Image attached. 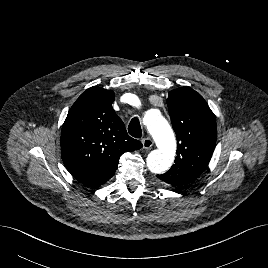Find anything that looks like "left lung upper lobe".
<instances>
[{"label": "left lung upper lobe", "instance_id": "left-lung-upper-lobe-1", "mask_svg": "<svg viewBox=\"0 0 268 268\" xmlns=\"http://www.w3.org/2000/svg\"><path fill=\"white\" fill-rule=\"evenodd\" d=\"M167 106L177 137L175 163L158 178L174 187L186 185L207 167L217 138L216 120L204 98L190 87L168 94Z\"/></svg>", "mask_w": 268, "mask_h": 268}]
</instances>
